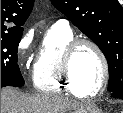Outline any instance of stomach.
I'll list each match as a JSON object with an SVG mask.
<instances>
[{
	"label": "stomach",
	"instance_id": "1",
	"mask_svg": "<svg viewBox=\"0 0 123 113\" xmlns=\"http://www.w3.org/2000/svg\"><path fill=\"white\" fill-rule=\"evenodd\" d=\"M73 113H102L101 110L97 107H86L83 109H79Z\"/></svg>",
	"mask_w": 123,
	"mask_h": 113
}]
</instances>
